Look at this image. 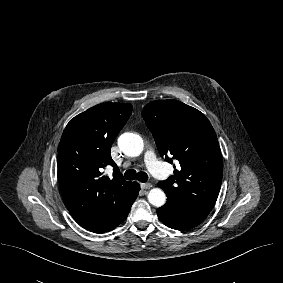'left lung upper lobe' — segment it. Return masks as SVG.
Returning a JSON list of instances; mask_svg holds the SVG:
<instances>
[{
	"label": "left lung upper lobe",
	"instance_id": "1",
	"mask_svg": "<svg viewBox=\"0 0 283 283\" xmlns=\"http://www.w3.org/2000/svg\"><path fill=\"white\" fill-rule=\"evenodd\" d=\"M142 117L160 155L171 164L172 159L180 164L174 176L158 183L167 202L207 216L222 181L221 151L212 125L199 110L177 100L150 102L143 108Z\"/></svg>",
	"mask_w": 283,
	"mask_h": 283
}]
</instances>
